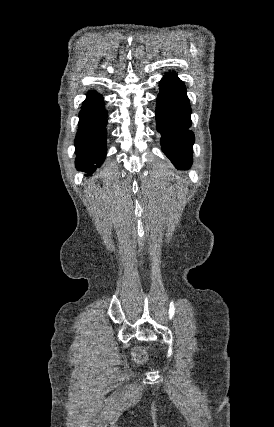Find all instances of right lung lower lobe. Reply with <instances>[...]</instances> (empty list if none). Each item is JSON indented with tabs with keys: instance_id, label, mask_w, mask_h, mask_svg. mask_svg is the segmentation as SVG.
<instances>
[{
	"instance_id": "1",
	"label": "right lung lower lobe",
	"mask_w": 274,
	"mask_h": 427,
	"mask_svg": "<svg viewBox=\"0 0 274 427\" xmlns=\"http://www.w3.org/2000/svg\"><path fill=\"white\" fill-rule=\"evenodd\" d=\"M79 130L75 139L76 167L80 171L93 173L94 164H101L106 155L107 112L103 98L90 92L80 112Z\"/></svg>"
}]
</instances>
